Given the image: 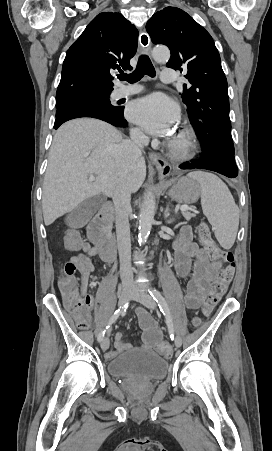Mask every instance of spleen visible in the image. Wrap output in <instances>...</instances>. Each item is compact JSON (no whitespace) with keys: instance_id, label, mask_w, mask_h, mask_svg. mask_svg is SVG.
Returning a JSON list of instances; mask_svg holds the SVG:
<instances>
[{"instance_id":"1","label":"spleen","mask_w":272,"mask_h":451,"mask_svg":"<svg viewBox=\"0 0 272 451\" xmlns=\"http://www.w3.org/2000/svg\"><path fill=\"white\" fill-rule=\"evenodd\" d=\"M187 176L199 182L203 214L213 227L220 245L230 249L236 239L240 216L231 192L215 174L190 172Z\"/></svg>"}]
</instances>
